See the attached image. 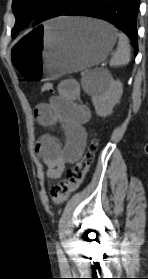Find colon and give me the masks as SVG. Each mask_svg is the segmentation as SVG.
<instances>
[{
  "label": "colon",
  "instance_id": "obj_1",
  "mask_svg": "<svg viewBox=\"0 0 148 279\" xmlns=\"http://www.w3.org/2000/svg\"><path fill=\"white\" fill-rule=\"evenodd\" d=\"M41 91L43 93H53V84L49 82L42 84ZM97 146L98 141L94 136L90 139L87 149L81 159L68 167L66 178L60 184L52 188L51 198L55 204L63 203L80 188L93 163Z\"/></svg>",
  "mask_w": 148,
  "mask_h": 279
}]
</instances>
